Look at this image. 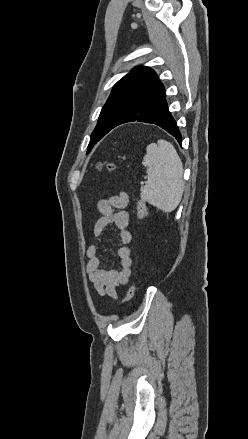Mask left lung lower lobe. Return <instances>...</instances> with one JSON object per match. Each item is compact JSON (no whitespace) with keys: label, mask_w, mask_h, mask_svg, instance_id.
<instances>
[{"label":"left lung lower lobe","mask_w":248,"mask_h":439,"mask_svg":"<svg viewBox=\"0 0 248 439\" xmlns=\"http://www.w3.org/2000/svg\"><path fill=\"white\" fill-rule=\"evenodd\" d=\"M134 121L158 125L174 136L179 144L182 143L181 133L168 110L165 89L160 81L116 126Z\"/></svg>","instance_id":"left-lung-lower-lobe-1"}]
</instances>
